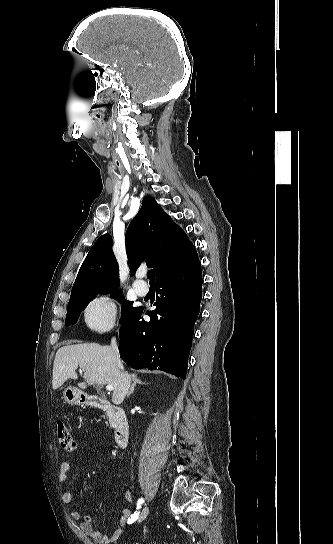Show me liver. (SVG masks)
<instances>
[{"instance_id": "1", "label": "liver", "mask_w": 333, "mask_h": 544, "mask_svg": "<svg viewBox=\"0 0 333 544\" xmlns=\"http://www.w3.org/2000/svg\"><path fill=\"white\" fill-rule=\"evenodd\" d=\"M78 366L84 371L85 381L78 383L81 389L95 384L112 385V402L119 405L124 401L134 374L123 372V366L111 347L83 343L59 348L53 364V389L60 388L69 378L77 379L75 371Z\"/></svg>"}]
</instances>
